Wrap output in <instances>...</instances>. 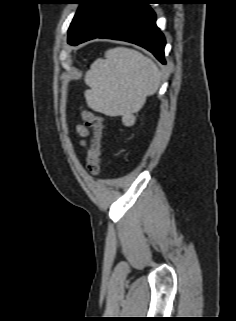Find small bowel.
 <instances>
[{
	"mask_svg": "<svg viewBox=\"0 0 236 321\" xmlns=\"http://www.w3.org/2000/svg\"><path fill=\"white\" fill-rule=\"evenodd\" d=\"M77 134L80 136V137H85L87 134H88V131L87 129L82 126V125H79L77 127Z\"/></svg>",
	"mask_w": 236,
	"mask_h": 321,
	"instance_id": "1",
	"label": "small bowel"
}]
</instances>
